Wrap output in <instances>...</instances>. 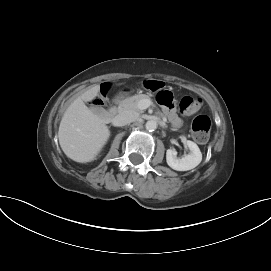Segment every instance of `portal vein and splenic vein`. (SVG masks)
Returning <instances> with one entry per match:
<instances>
[{
	"instance_id": "portal-vein-and-splenic-vein-1",
	"label": "portal vein and splenic vein",
	"mask_w": 271,
	"mask_h": 271,
	"mask_svg": "<svg viewBox=\"0 0 271 271\" xmlns=\"http://www.w3.org/2000/svg\"><path fill=\"white\" fill-rule=\"evenodd\" d=\"M138 105H139L140 109H147L151 105V101L150 100H142L139 102Z\"/></svg>"
}]
</instances>
